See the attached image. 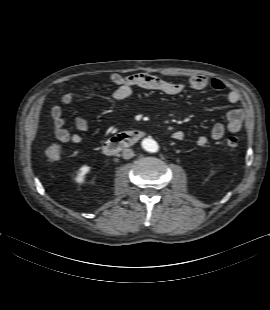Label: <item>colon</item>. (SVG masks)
Returning a JSON list of instances; mask_svg holds the SVG:
<instances>
[{
    "mask_svg": "<svg viewBox=\"0 0 270 310\" xmlns=\"http://www.w3.org/2000/svg\"><path fill=\"white\" fill-rule=\"evenodd\" d=\"M226 145L229 149L235 150L240 145V140L236 136H230L226 140ZM46 156L50 161H59L64 154V148L57 143L49 144L46 148Z\"/></svg>",
    "mask_w": 270,
    "mask_h": 310,
    "instance_id": "5ec220e1",
    "label": "colon"
}]
</instances>
